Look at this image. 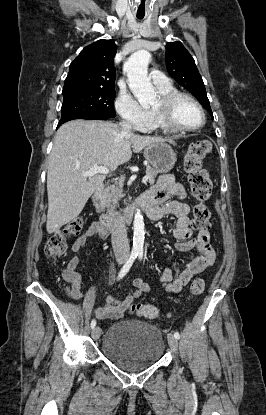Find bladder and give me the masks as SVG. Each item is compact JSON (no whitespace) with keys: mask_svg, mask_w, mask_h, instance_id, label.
Returning <instances> with one entry per match:
<instances>
[{"mask_svg":"<svg viewBox=\"0 0 266 415\" xmlns=\"http://www.w3.org/2000/svg\"><path fill=\"white\" fill-rule=\"evenodd\" d=\"M101 350L117 367L135 372L156 364L164 354L165 342L156 326L138 320H123L108 328Z\"/></svg>","mask_w":266,"mask_h":415,"instance_id":"1","label":"bladder"}]
</instances>
